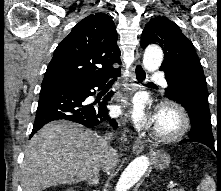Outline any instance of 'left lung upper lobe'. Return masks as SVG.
<instances>
[{
	"label": "left lung upper lobe",
	"instance_id": "5c2ea615",
	"mask_svg": "<svg viewBox=\"0 0 221 191\" xmlns=\"http://www.w3.org/2000/svg\"><path fill=\"white\" fill-rule=\"evenodd\" d=\"M149 44H158L164 50L165 58L160 70L165 72L168 82V88L165 90L167 98L176 97L177 89L174 85L177 81L184 79L189 74L203 72L192 42L169 19L158 16L146 24L141 37V47L145 48ZM197 139V142L214 149L210 121L208 130L199 132Z\"/></svg>",
	"mask_w": 221,
	"mask_h": 191
}]
</instances>
